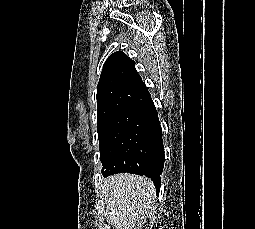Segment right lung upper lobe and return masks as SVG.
<instances>
[{
  "instance_id": "1",
  "label": "right lung upper lobe",
  "mask_w": 255,
  "mask_h": 229,
  "mask_svg": "<svg viewBox=\"0 0 255 229\" xmlns=\"http://www.w3.org/2000/svg\"><path fill=\"white\" fill-rule=\"evenodd\" d=\"M150 100L135 62L121 51L111 54L104 63L97 86V126Z\"/></svg>"
}]
</instances>
